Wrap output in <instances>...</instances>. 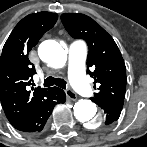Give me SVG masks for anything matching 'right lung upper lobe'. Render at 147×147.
Listing matches in <instances>:
<instances>
[{
    "instance_id": "1",
    "label": "right lung upper lobe",
    "mask_w": 147,
    "mask_h": 147,
    "mask_svg": "<svg viewBox=\"0 0 147 147\" xmlns=\"http://www.w3.org/2000/svg\"><path fill=\"white\" fill-rule=\"evenodd\" d=\"M57 19L58 15L50 12L26 16L13 29L3 47L0 57V101L10 123L26 117L49 96L51 88L37 87L28 91L36 73L28 54Z\"/></svg>"
}]
</instances>
